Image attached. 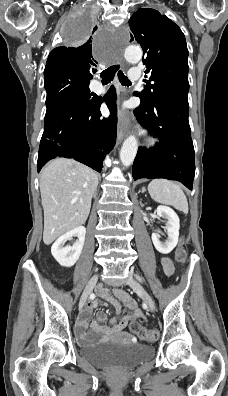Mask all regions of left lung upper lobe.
Listing matches in <instances>:
<instances>
[{
    "label": "left lung upper lobe",
    "instance_id": "5c2ea615",
    "mask_svg": "<svg viewBox=\"0 0 228 396\" xmlns=\"http://www.w3.org/2000/svg\"><path fill=\"white\" fill-rule=\"evenodd\" d=\"M133 34L143 49L145 73L153 84L145 86L137 95L143 105H152L166 93H188V49L181 29L157 10L144 8L133 13L129 20Z\"/></svg>",
    "mask_w": 228,
    "mask_h": 396
}]
</instances>
